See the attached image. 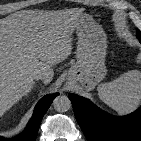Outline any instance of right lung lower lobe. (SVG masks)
Returning a JSON list of instances; mask_svg holds the SVG:
<instances>
[{"label": "right lung lower lobe", "mask_w": 141, "mask_h": 141, "mask_svg": "<svg viewBox=\"0 0 141 141\" xmlns=\"http://www.w3.org/2000/svg\"><path fill=\"white\" fill-rule=\"evenodd\" d=\"M57 95L58 93L46 95L37 103L32 118L20 135L12 139L0 137V141H35L41 120Z\"/></svg>", "instance_id": "obj_1"}]
</instances>
